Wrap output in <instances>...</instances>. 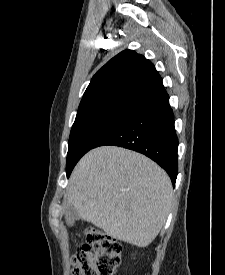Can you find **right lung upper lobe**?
<instances>
[{"mask_svg":"<svg viewBox=\"0 0 225 275\" xmlns=\"http://www.w3.org/2000/svg\"><path fill=\"white\" fill-rule=\"evenodd\" d=\"M167 96L154 65L135 51L125 50L93 76L75 120L106 112L129 114Z\"/></svg>","mask_w":225,"mask_h":275,"instance_id":"right-lung-upper-lobe-1","label":"right lung upper lobe"}]
</instances>
